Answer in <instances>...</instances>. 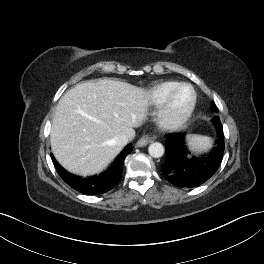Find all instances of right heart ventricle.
Listing matches in <instances>:
<instances>
[{"mask_svg":"<svg viewBox=\"0 0 264 264\" xmlns=\"http://www.w3.org/2000/svg\"><path fill=\"white\" fill-rule=\"evenodd\" d=\"M179 82L177 81H163L154 85L148 91V99L154 105H161L165 100L168 93L176 86Z\"/></svg>","mask_w":264,"mask_h":264,"instance_id":"e07e8e85","label":"right heart ventricle"}]
</instances>
